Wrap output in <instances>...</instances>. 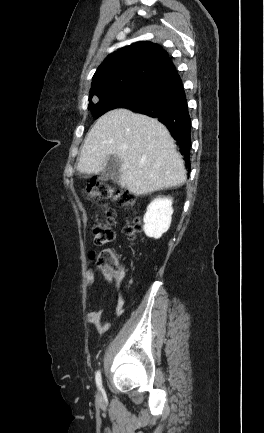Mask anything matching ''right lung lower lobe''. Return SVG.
Listing matches in <instances>:
<instances>
[{"label": "right lung lower lobe", "mask_w": 264, "mask_h": 433, "mask_svg": "<svg viewBox=\"0 0 264 433\" xmlns=\"http://www.w3.org/2000/svg\"><path fill=\"white\" fill-rule=\"evenodd\" d=\"M127 105L124 108L163 123L177 140L190 167L191 119L182 80L170 59L145 80Z\"/></svg>", "instance_id": "1"}]
</instances>
